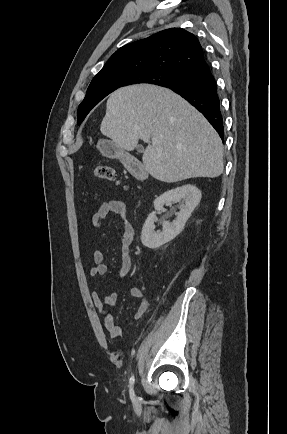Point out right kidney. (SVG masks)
Masks as SVG:
<instances>
[{"label": "right kidney", "mask_w": 287, "mask_h": 434, "mask_svg": "<svg viewBox=\"0 0 287 434\" xmlns=\"http://www.w3.org/2000/svg\"><path fill=\"white\" fill-rule=\"evenodd\" d=\"M202 194L201 191L192 184H186L175 189H171L154 201L153 211L147 217L141 232V242L145 247L156 249L163 244L173 240L184 228L186 221L191 216L195 207L199 204ZM182 202L177 217L172 222H163L162 231H155L154 222L156 211L163 209L164 205Z\"/></svg>", "instance_id": "ca27d5eb"}]
</instances>
